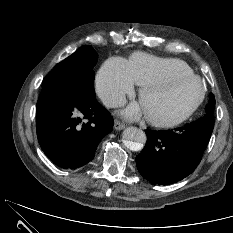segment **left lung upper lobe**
Segmentation results:
<instances>
[{"mask_svg":"<svg viewBox=\"0 0 233 233\" xmlns=\"http://www.w3.org/2000/svg\"><path fill=\"white\" fill-rule=\"evenodd\" d=\"M214 107H215V97L211 93L209 97V103L205 109V115L201 117L198 120V122L214 127V117H213Z\"/></svg>","mask_w":233,"mask_h":233,"instance_id":"1","label":"left lung upper lobe"}]
</instances>
